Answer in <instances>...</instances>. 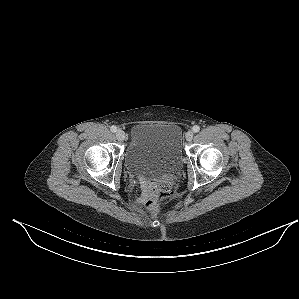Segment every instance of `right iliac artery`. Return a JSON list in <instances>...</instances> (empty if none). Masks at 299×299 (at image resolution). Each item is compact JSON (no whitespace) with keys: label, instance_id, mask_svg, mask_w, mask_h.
Segmentation results:
<instances>
[{"label":"right iliac artery","instance_id":"right-iliac-artery-1","mask_svg":"<svg viewBox=\"0 0 299 299\" xmlns=\"http://www.w3.org/2000/svg\"><path fill=\"white\" fill-rule=\"evenodd\" d=\"M111 131L113 132V133H115L116 131H117V127L116 126H111Z\"/></svg>","mask_w":299,"mask_h":299}]
</instances>
